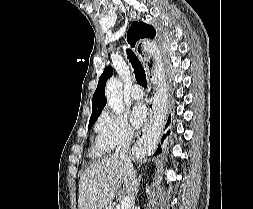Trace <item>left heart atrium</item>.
Wrapping results in <instances>:
<instances>
[{"instance_id":"obj_1","label":"left heart atrium","mask_w":253,"mask_h":209,"mask_svg":"<svg viewBox=\"0 0 253 209\" xmlns=\"http://www.w3.org/2000/svg\"><path fill=\"white\" fill-rule=\"evenodd\" d=\"M147 109L143 104H137L131 113V122L135 127H140L147 119Z\"/></svg>"}]
</instances>
